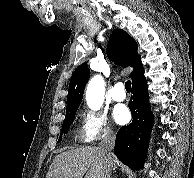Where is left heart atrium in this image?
I'll return each mask as SVG.
<instances>
[{"instance_id": "obj_1", "label": "left heart atrium", "mask_w": 194, "mask_h": 178, "mask_svg": "<svg viewBox=\"0 0 194 178\" xmlns=\"http://www.w3.org/2000/svg\"><path fill=\"white\" fill-rule=\"evenodd\" d=\"M113 118L118 124H125L130 119V113L124 106H117L113 110Z\"/></svg>"}]
</instances>
